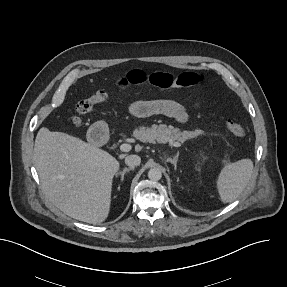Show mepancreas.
<instances>
[{
	"mask_svg": "<svg viewBox=\"0 0 287 287\" xmlns=\"http://www.w3.org/2000/svg\"><path fill=\"white\" fill-rule=\"evenodd\" d=\"M134 137L142 142H181L191 140L204 135L202 130L194 131H181L179 128H175L172 125L167 126L166 124L156 125L153 124L151 127H140L133 133Z\"/></svg>",
	"mask_w": 287,
	"mask_h": 287,
	"instance_id": "obj_1",
	"label": "pancreas"
}]
</instances>
